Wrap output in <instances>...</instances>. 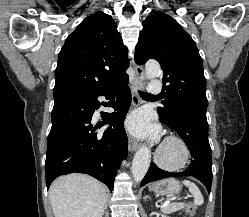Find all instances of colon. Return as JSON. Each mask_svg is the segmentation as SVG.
<instances>
[{
  "label": "colon",
  "mask_w": 249,
  "mask_h": 217,
  "mask_svg": "<svg viewBox=\"0 0 249 217\" xmlns=\"http://www.w3.org/2000/svg\"><path fill=\"white\" fill-rule=\"evenodd\" d=\"M186 211L189 217H193L196 212V207L193 204H189Z\"/></svg>",
  "instance_id": "5ec220e1"
}]
</instances>
